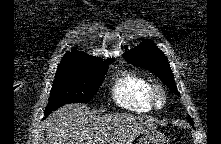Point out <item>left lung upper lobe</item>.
<instances>
[{
    "label": "left lung upper lobe",
    "mask_w": 221,
    "mask_h": 144,
    "mask_svg": "<svg viewBox=\"0 0 221 144\" xmlns=\"http://www.w3.org/2000/svg\"><path fill=\"white\" fill-rule=\"evenodd\" d=\"M124 58L131 64L144 67L158 76L164 84L176 95H179L173 73L164 53L155 46L152 41H145L130 51L123 54ZM190 124L194 126L190 118Z\"/></svg>",
    "instance_id": "5c2ea615"
}]
</instances>
